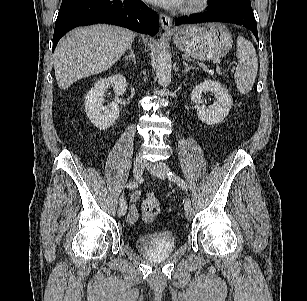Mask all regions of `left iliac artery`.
Here are the masks:
<instances>
[{
	"mask_svg": "<svg viewBox=\"0 0 307 301\" xmlns=\"http://www.w3.org/2000/svg\"><path fill=\"white\" fill-rule=\"evenodd\" d=\"M168 179L177 183L182 189H184L185 191H187V185L185 183V181L180 178L179 176H177L176 174H174L173 172H168L167 173ZM189 206H191V201L188 199H186L185 204H184V209L188 208Z\"/></svg>",
	"mask_w": 307,
	"mask_h": 301,
	"instance_id": "left-iliac-artery-1",
	"label": "left iliac artery"
}]
</instances>
